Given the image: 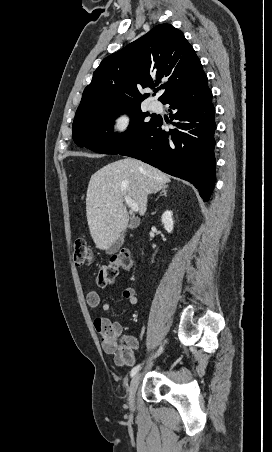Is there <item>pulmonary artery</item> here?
Masks as SVG:
<instances>
[{"label": "pulmonary artery", "mask_w": 272, "mask_h": 452, "mask_svg": "<svg viewBox=\"0 0 272 452\" xmlns=\"http://www.w3.org/2000/svg\"><path fill=\"white\" fill-rule=\"evenodd\" d=\"M161 107H162L161 103L157 100L152 101L150 104V108L153 111H159L161 109Z\"/></svg>", "instance_id": "pulmonary-artery-1"}]
</instances>
